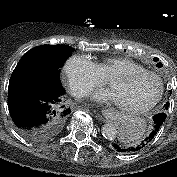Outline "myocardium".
I'll list each match as a JSON object with an SVG mask.
<instances>
[{
    "mask_svg": "<svg viewBox=\"0 0 177 177\" xmlns=\"http://www.w3.org/2000/svg\"><path fill=\"white\" fill-rule=\"evenodd\" d=\"M140 76H149V77L154 78L157 81L158 90L156 94L149 101H147L146 103L142 105L126 106L122 104H117L121 110L126 111V112H132V113H142V112H145L151 109L161 99L163 95V91H164L163 81L157 73L148 71L146 69L145 70H130V71L115 74L111 78H109L108 83H109V86H111L112 83L116 80H123V79H129V78L140 77Z\"/></svg>",
    "mask_w": 177,
    "mask_h": 177,
    "instance_id": "1",
    "label": "myocardium"
}]
</instances>
